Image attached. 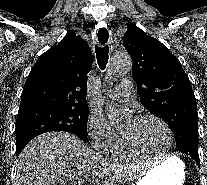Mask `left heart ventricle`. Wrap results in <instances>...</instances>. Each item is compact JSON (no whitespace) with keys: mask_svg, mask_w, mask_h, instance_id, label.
<instances>
[{"mask_svg":"<svg viewBox=\"0 0 207 185\" xmlns=\"http://www.w3.org/2000/svg\"><path fill=\"white\" fill-rule=\"evenodd\" d=\"M132 144L138 150L158 154L165 151L168 145L166 132L155 120H129L124 129Z\"/></svg>","mask_w":207,"mask_h":185,"instance_id":"b2bd125f","label":"left heart ventricle"}]
</instances>
